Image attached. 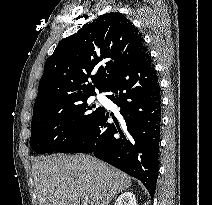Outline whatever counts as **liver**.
<instances>
[{"instance_id": "6515ba94", "label": "liver", "mask_w": 212, "mask_h": 205, "mask_svg": "<svg viewBox=\"0 0 212 205\" xmlns=\"http://www.w3.org/2000/svg\"><path fill=\"white\" fill-rule=\"evenodd\" d=\"M38 205H108L118 193L131 186L122 171L85 155L45 157L32 166Z\"/></svg>"}]
</instances>
